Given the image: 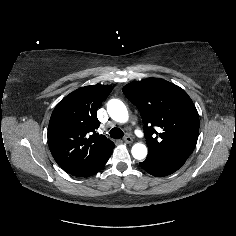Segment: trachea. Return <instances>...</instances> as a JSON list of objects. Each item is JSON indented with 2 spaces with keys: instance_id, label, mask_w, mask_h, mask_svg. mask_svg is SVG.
<instances>
[{
  "instance_id": "trachea-1",
  "label": "trachea",
  "mask_w": 236,
  "mask_h": 236,
  "mask_svg": "<svg viewBox=\"0 0 236 236\" xmlns=\"http://www.w3.org/2000/svg\"><path fill=\"white\" fill-rule=\"evenodd\" d=\"M111 138H122L124 136L123 131L120 128L114 127L110 130Z\"/></svg>"
}]
</instances>
